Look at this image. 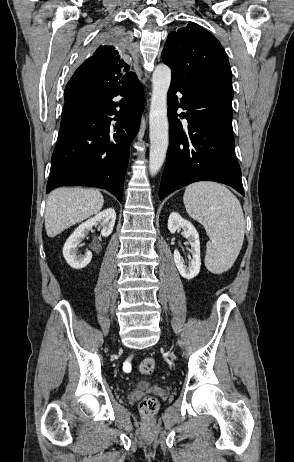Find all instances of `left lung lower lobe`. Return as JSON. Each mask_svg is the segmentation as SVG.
Returning <instances> with one entry per match:
<instances>
[{
	"label": "left lung lower lobe",
	"mask_w": 294,
	"mask_h": 462,
	"mask_svg": "<svg viewBox=\"0 0 294 462\" xmlns=\"http://www.w3.org/2000/svg\"><path fill=\"white\" fill-rule=\"evenodd\" d=\"M183 94L180 102L176 92ZM232 87L225 83L184 86L171 81L168 92L169 147L159 199L190 183L215 181L244 196L241 170L234 154ZM185 118L182 126L177 118Z\"/></svg>",
	"instance_id": "left-lung-lower-lobe-1"
}]
</instances>
